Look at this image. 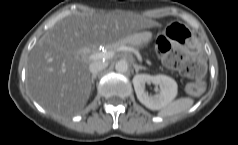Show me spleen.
<instances>
[{
	"instance_id": "obj_1",
	"label": "spleen",
	"mask_w": 238,
	"mask_h": 145,
	"mask_svg": "<svg viewBox=\"0 0 238 145\" xmlns=\"http://www.w3.org/2000/svg\"><path fill=\"white\" fill-rule=\"evenodd\" d=\"M194 100L189 97L179 98L165 105L159 112L161 117H169L187 111L192 107Z\"/></svg>"
}]
</instances>
